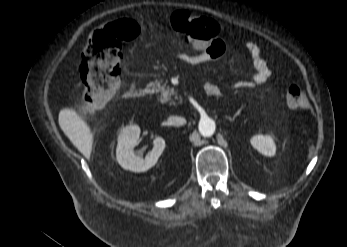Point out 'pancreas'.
<instances>
[{
  "label": "pancreas",
  "mask_w": 347,
  "mask_h": 247,
  "mask_svg": "<svg viewBox=\"0 0 347 247\" xmlns=\"http://www.w3.org/2000/svg\"><path fill=\"white\" fill-rule=\"evenodd\" d=\"M153 88L156 92L161 93L160 101L162 103L169 102L170 104H173V105L176 104V102L173 101L172 97L174 96L175 99H178V95L173 88H170L169 86L166 87L165 85L161 84V81H158V80L153 83Z\"/></svg>",
  "instance_id": "1"
}]
</instances>
